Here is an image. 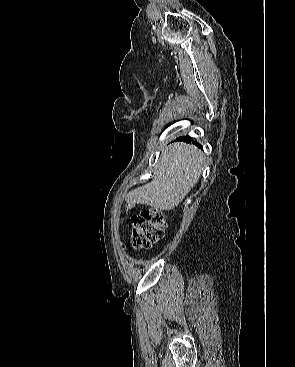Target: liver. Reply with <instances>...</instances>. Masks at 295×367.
Wrapping results in <instances>:
<instances>
[{
	"label": "liver",
	"instance_id": "1",
	"mask_svg": "<svg viewBox=\"0 0 295 367\" xmlns=\"http://www.w3.org/2000/svg\"><path fill=\"white\" fill-rule=\"evenodd\" d=\"M206 157L193 145L174 143L162 154L154 179L132 190L127 201L172 210L183 201L198 182Z\"/></svg>",
	"mask_w": 295,
	"mask_h": 367
}]
</instances>
